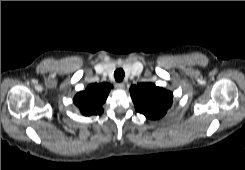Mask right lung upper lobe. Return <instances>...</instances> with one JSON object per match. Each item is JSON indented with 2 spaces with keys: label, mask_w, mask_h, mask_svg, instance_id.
Wrapping results in <instances>:
<instances>
[{
  "label": "right lung upper lobe",
  "mask_w": 245,
  "mask_h": 170,
  "mask_svg": "<svg viewBox=\"0 0 245 170\" xmlns=\"http://www.w3.org/2000/svg\"><path fill=\"white\" fill-rule=\"evenodd\" d=\"M111 88L112 86L108 83L90 84L85 91L75 95L73 102L85 116L100 115L103 113L102 105Z\"/></svg>",
  "instance_id": "cb5924a9"
}]
</instances>
